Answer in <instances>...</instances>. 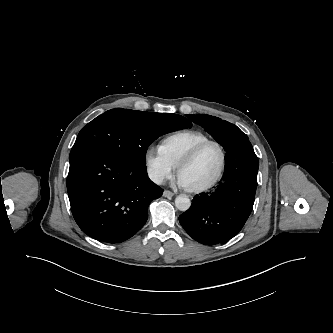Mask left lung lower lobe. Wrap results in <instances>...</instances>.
<instances>
[{"label":"left lung lower lobe","instance_id":"obj_1","mask_svg":"<svg viewBox=\"0 0 333 333\" xmlns=\"http://www.w3.org/2000/svg\"><path fill=\"white\" fill-rule=\"evenodd\" d=\"M258 158L248 139L231 147L218 188L196 195L179 216L185 231L197 242L213 245L237 235L251 214L257 188Z\"/></svg>","mask_w":333,"mask_h":333}]
</instances>
